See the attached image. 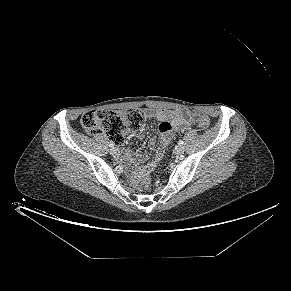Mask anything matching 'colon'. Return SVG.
Here are the masks:
<instances>
[{
	"label": "colon",
	"mask_w": 291,
	"mask_h": 291,
	"mask_svg": "<svg viewBox=\"0 0 291 291\" xmlns=\"http://www.w3.org/2000/svg\"><path fill=\"white\" fill-rule=\"evenodd\" d=\"M145 113L140 109L128 111H89L81 118L82 126L93 134L104 133L116 144L124 141L125 135L141 128L145 121ZM198 127L207 129L209 119L201 114H197ZM153 169L145 168L141 173V181L145 187L150 185L149 174Z\"/></svg>",
	"instance_id": "5ec220e1"
}]
</instances>
